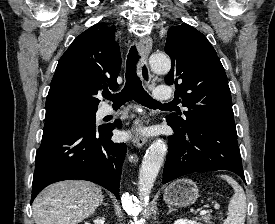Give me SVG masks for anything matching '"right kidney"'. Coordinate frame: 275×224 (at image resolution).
Masks as SVG:
<instances>
[{
	"instance_id": "ca27d5eb",
	"label": "right kidney",
	"mask_w": 275,
	"mask_h": 224,
	"mask_svg": "<svg viewBox=\"0 0 275 224\" xmlns=\"http://www.w3.org/2000/svg\"><path fill=\"white\" fill-rule=\"evenodd\" d=\"M104 222H105V218H98L94 220V224H104ZM84 224H90V223L86 222Z\"/></svg>"
}]
</instances>
